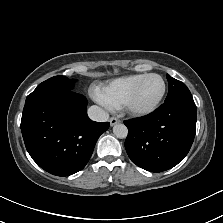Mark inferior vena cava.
<instances>
[{
    "label": "inferior vena cava",
    "mask_w": 223,
    "mask_h": 223,
    "mask_svg": "<svg viewBox=\"0 0 223 223\" xmlns=\"http://www.w3.org/2000/svg\"><path fill=\"white\" fill-rule=\"evenodd\" d=\"M90 119L98 122H105L109 119V114L99 106L93 105L88 109Z\"/></svg>",
    "instance_id": "inferior-vena-cava-1"
}]
</instances>
